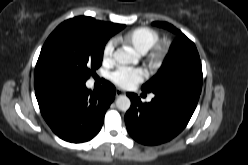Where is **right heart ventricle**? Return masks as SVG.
Returning a JSON list of instances; mask_svg holds the SVG:
<instances>
[{"label": "right heart ventricle", "mask_w": 248, "mask_h": 165, "mask_svg": "<svg viewBox=\"0 0 248 165\" xmlns=\"http://www.w3.org/2000/svg\"><path fill=\"white\" fill-rule=\"evenodd\" d=\"M158 40V32L149 27H138L118 37L122 44L132 47L141 54L148 52Z\"/></svg>", "instance_id": "right-heart-ventricle-1"}]
</instances>
